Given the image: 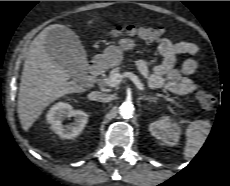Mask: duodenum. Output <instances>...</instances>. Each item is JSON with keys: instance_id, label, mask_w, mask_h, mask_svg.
Wrapping results in <instances>:
<instances>
[{"instance_id": "duodenum-1", "label": "duodenum", "mask_w": 230, "mask_h": 186, "mask_svg": "<svg viewBox=\"0 0 230 186\" xmlns=\"http://www.w3.org/2000/svg\"><path fill=\"white\" fill-rule=\"evenodd\" d=\"M103 70L102 64L93 62L88 66V72L93 80H97Z\"/></svg>"}]
</instances>
